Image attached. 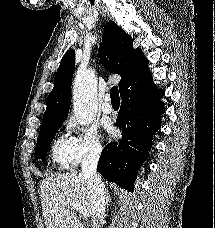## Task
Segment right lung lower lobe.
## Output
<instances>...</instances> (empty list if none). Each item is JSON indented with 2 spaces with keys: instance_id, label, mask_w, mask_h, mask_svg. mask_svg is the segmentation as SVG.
<instances>
[{
  "instance_id": "right-lung-lower-lobe-1",
  "label": "right lung lower lobe",
  "mask_w": 215,
  "mask_h": 228,
  "mask_svg": "<svg viewBox=\"0 0 215 228\" xmlns=\"http://www.w3.org/2000/svg\"><path fill=\"white\" fill-rule=\"evenodd\" d=\"M162 95L150 74L130 80L121 94L116 126L122 129V139L106 145L97 170L124 189L133 191L138 169L147 158L154 133L160 128V116L165 112L160 101Z\"/></svg>"
}]
</instances>
